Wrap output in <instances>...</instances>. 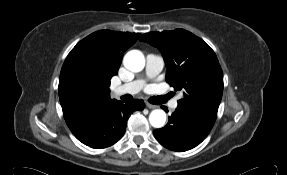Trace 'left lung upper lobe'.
Masks as SVG:
<instances>
[{
  "label": "left lung upper lobe",
  "instance_id": "5c2ea615",
  "mask_svg": "<svg viewBox=\"0 0 287 175\" xmlns=\"http://www.w3.org/2000/svg\"><path fill=\"white\" fill-rule=\"evenodd\" d=\"M140 40L161 51L166 81L175 91L184 92L177 108L212 129L223 93V73L214 51L184 29L150 32Z\"/></svg>",
  "mask_w": 287,
  "mask_h": 175
}]
</instances>
